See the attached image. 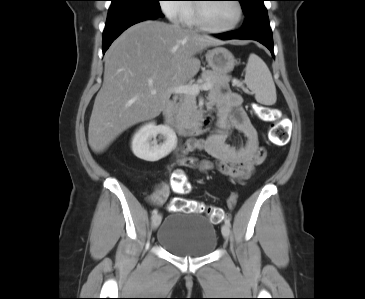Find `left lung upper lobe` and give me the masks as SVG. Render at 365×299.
<instances>
[{"instance_id": "obj_1", "label": "left lung upper lobe", "mask_w": 365, "mask_h": 299, "mask_svg": "<svg viewBox=\"0 0 365 299\" xmlns=\"http://www.w3.org/2000/svg\"><path fill=\"white\" fill-rule=\"evenodd\" d=\"M242 6L245 16H248L253 11L263 8L264 0H238Z\"/></svg>"}]
</instances>
